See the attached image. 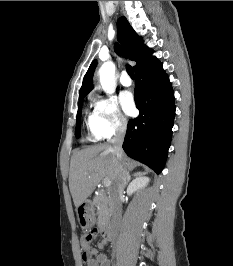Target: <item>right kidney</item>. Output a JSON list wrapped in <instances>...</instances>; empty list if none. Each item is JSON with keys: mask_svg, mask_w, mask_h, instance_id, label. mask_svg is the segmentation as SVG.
Masks as SVG:
<instances>
[{"mask_svg": "<svg viewBox=\"0 0 233 266\" xmlns=\"http://www.w3.org/2000/svg\"><path fill=\"white\" fill-rule=\"evenodd\" d=\"M149 183L148 177H137L134 179L128 186L127 192L129 195H132L134 192L139 189L144 188Z\"/></svg>", "mask_w": 233, "mask_h": 266, "instance_id": "1", "label": "right kidney"}]
</instances>
